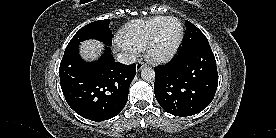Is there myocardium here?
Returning <instances> with one entry per match:
<instances>
[{
  "mask_svg": "<svg viewBox=\"0 0 276 138\" xmlns=\"http://www.w3.org/2000/svg\"><path fill=\"white\" fill-rule=\"evenodd\" d=\"M170 20H175L178 22V24L180 26L179 36H178L175 44L172 46V48L170 50H168L166 52H158V51H156V45H157L159 35H160L161 30L164 27V25ZM183 39H184V27H183L182 22L177 17L168 16L164 20H162L157 25L155 30L153 31V33L145 47V56L152 63L167 62L170 59H172L175 56V54L178 52V50L183 42Z\"/></svg>",
  "mask_w": 276,
  "mask_h": 138,
  "instance_id": "f54148a6",
  "label": "myocardium"
}]
</instances>
